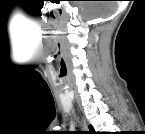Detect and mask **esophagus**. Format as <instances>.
Here are the masks:
<instances>
[{
    "mask_svg": "<svg viewBox=\"0 0 145 134\" xmlns=\"http://www.w3.org/2000/svg\"><path fill=\"white\" fill-rule=\"evenodd\" d=\"M82 126H83L84 131L88 130L87 123H86V121L84 119H82Z\"/></svg>",
    "mask_w": 145,
    "mask_h": 134,
    "instance_id": "34e87169",
    "label": "esophagus"
}]
</instances>
